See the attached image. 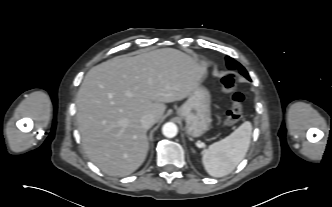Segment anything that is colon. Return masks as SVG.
<instances>
[{"mask_svg": "<svg viewBox=\"0 0 332 207\" xmlns=\"http://www.w3.org/2000/svg\"><path fill=\"white\" fill-rule=\"evenodd\" d=\"M222 87L229 94L231 108L223 121L225 125H232L239 122L243 115L244 96L236 89V75L228 73L222 78Z\"/></svg>", "mask_w": 332, "mask_h": 207, "instance_id": "1", "label": "colon"}]
</instances>
